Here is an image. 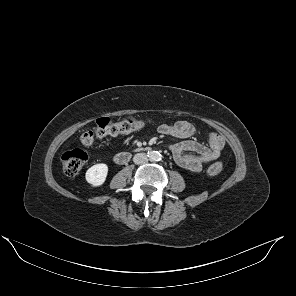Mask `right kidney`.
<instances>
[{
    "label": "right kidney",
    "mask_w": 296,
    "mask_h": 296,
    "mask_svg": "<svg viewBox=\"0 0 296 296\" xmlns=\"http://www.w3.org/2000/svg\"><path fill=\"white\" fill-rule=\"evenodd\" d=\"M108 166L104 163L96 164L90 167L86 172V181L93 187L101 186L107 177Z\"/></svg>",
    "instance_id": "ca27d5eb"
}]
</instances>
